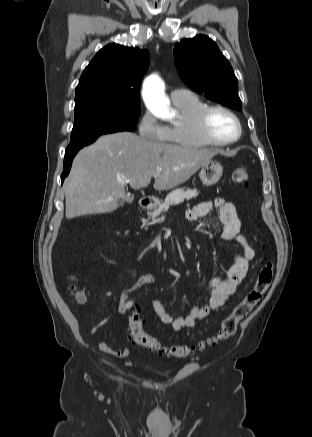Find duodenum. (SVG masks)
Listing matches in <instances>:
<instances>
[{"label": "duodenum", "mask_w": 312, "mask_h": 437, "mask_svg": "<svg viewBox=\"0 0 312 437\" xmlns=\"http://www.w3.org/2000/svg\"><path fill=\"white\" fill-rule=\"evenodd\" d=\"M155 198L151 196L144 197L140 200V206L143 209L152 208L155 205Z\"/></svg>", "instance_id": "obj_1"}]
</instances>
